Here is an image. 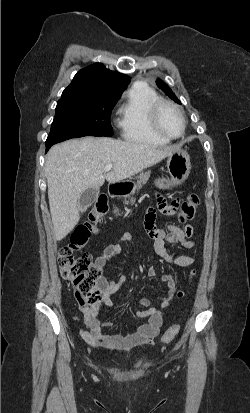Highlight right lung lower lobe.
<instances>
[{
  "mask_svg": "<svg viewBox=\"0 0 250 413\" xmlns=\"http://www.w3.org/2000/svg\"><path fill=\"white\" fill-rule=\"evenodd\" d=\"M77 137H82V136H77ZM77 137H74V138H77ZM64 141V140H63ZM62 142V141H61ZM52 145H46V152L50 149V147H51Z\"/></svg>",
  "mask_w": 250,
  "mask_h": 413,
  "instance_id": "98d812e1",
  "label": "right lung lower lobe"
}]
</instances>
